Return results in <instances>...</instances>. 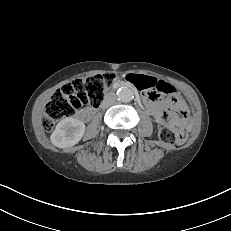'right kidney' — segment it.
Masks as SVG:
<instances>
[{
  "label": "right kidney",
  "instance_id": "right-kidney-1",
  "mask_svg": "<svg viewBox=\"0 0 231 231\" xmlns=\"http://www.w3.org/2000/svg\"><path fill=\"white\" fill-rule=\"evenodd\" d=\"M85 133V124L75 118L62 119L51 134L52 144L58 148L71 147L77 144Z\"/></svg>",
  "mask_w": 231,
  "mask_h": 231
}]
</instances>
